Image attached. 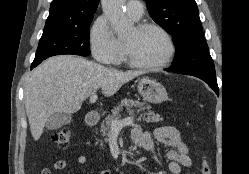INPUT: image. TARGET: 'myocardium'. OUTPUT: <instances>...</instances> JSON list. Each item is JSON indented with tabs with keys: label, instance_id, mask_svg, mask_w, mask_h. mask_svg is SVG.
I'll return each mask as SVG.
<instances>
[{
	"label": "myocardium",
	"instance_id": "f54148a6",
	"mask_svg": "<svg viewBox=\"0 0 249 174\" xmlns=\"http://www.w3.org/2000/svg\"><path fill=\"white\" fill-rule=\"evenodd\" d=\"M136 30L138 32H144L150 29H154L159 31L160 33L163 34V36L166 38L169 47H170V52L168 56L161 62L158 63H142L134 60L133 58L129 57L127 53H124V61L130 65L131 67L138 68V69H145V70H156V69H161L166 66H168L174 59L175 54H176V45L175 42L171 36V34L161 25L152 23V22H143L138 24L136 27Z\"/></svg>",
	"mask_w": 249,
	"mask_h": 174
}]
</instances>
